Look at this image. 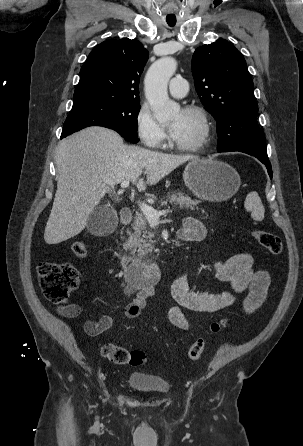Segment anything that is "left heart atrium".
Wrapping results in <instances>:
<instances>
[{
    "label": "left heart atrium",
    "instance_id": "39dd6f15",
    "mask_svg": "<svg viewBox=\"0 0 303 446\" xmlns=\"http://www.w3.org/2000/svg\"><path fill=\"white\" fill-rule=\"evenodd\" d=\"M170 129V133L172 137H175L178 133V129H179V123L178 122H174L173 124H171L169 126Z\"/></svg>",
    "mask_w": 303,
    "mask_h": 446
}]
</instances>
